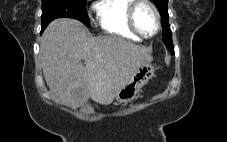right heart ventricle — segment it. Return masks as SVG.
Listing matches in <instances>:
<instances>
[{
    "label": "right heart ventricle",
    "mask_w": 227,
    "mask_h": 142,
    "mask_svg": "<svg viewBox=\"0 0 227 142\" xmlns=\"http://www.w3.org/2000/svg\"><path fill=\"white\" fill-rule=\"evenodd\" d=\"M133 0H100L95 6L96 20L107 35L131 41H140L128 26L127 9Z\"/></svg>",
    "instance_id": "1"
}]
</instances>
